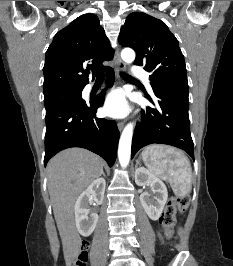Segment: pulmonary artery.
I'll return each instance as SVG.
<instances>
[{"mask_svg":"<svg viewBox=\"0 0 233 266\" xmlns=\"http://www.w3.org/2000/svg\"><path fill=\"white\" fill-rule=\"evenodd\" d=\"M133 74H134L135 77H137L139 79H142L146 83L148 89L151 90L149 76H148V74L145 71L137 69V68H134Z\"/></svg>","mask_w":233,"mask_h":266,"instance_id":"e3ab8cb5","label":"pulmonary artery"}]
</instances>
